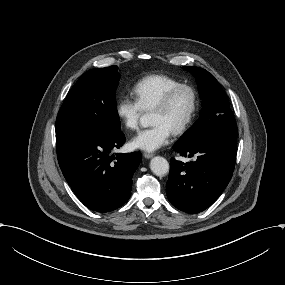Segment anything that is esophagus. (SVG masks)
Here are the masks:
<instances>
[{
    "instance_id": "obj_1",
    "label": "esophagus",
    "mask_w": 285,
    "mask_h": 285,
    "mask_svg": "<svg viewBox=\"0 0 285 285\" xmlns=\"http://www.w3.org/2000/svg\"><path fill=\"white\" fill-rule=\"evenodd\" d=\"M154 155L152 153H144L146 159H151Z\"/></svg>"
}]
</instances>
